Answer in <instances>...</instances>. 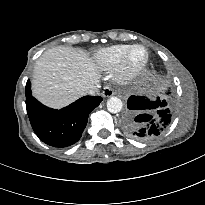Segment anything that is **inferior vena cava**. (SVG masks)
Returning <instances> with one entry per match:
<instances>
[{"instance_id": "obj_1", "label": "inferior vena cava", "mask_w": 205, "mask_h": 205, "mask_svg": "<svg viewBox=\"0 0 205 205\" xmlns=\"http://www.w3.org/2000/svg\"><path fill=\"white\" fill-rule=\"evenodd\" d=\"M98 87H99L98 84H94V85H92V87H91V89L88 91V93H89L90 95L95 94L96 91H97V89H98Z\"/></svg>"}]
</instances>
